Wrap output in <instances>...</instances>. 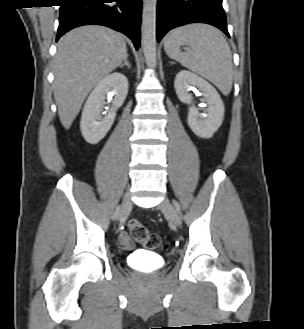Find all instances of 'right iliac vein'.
I'll return each instance as SVG.
<instances>
[{
	"instance_id": "obj_1",
	"label": "right iliac vein",
	"mask_w": 304,
	"mask_h": 329,
	"mask_svg": "<svg viewBox=\"0 0 304 329\" xmlns=\"http://www.w3.org/2000/svg\"><path fill=\"white\" fill-rule=\"evenodd\" d=\"M131 209V200L129 193H126L123 197L122 205L117 218H121L127 214Z\"/></svg>"
}]
</instances>
